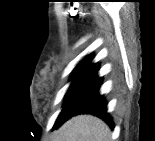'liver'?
Listing matches in <instances>:
<instances>
[{
  "label": "liver",
  "mask_w": 155,
  "mask_h": 141,
  "mask_svg": "<svg viewBox=\"0 0 155 141\" xmlns=\"http://www.w3.org/2000/svg\"><path fill=\"white\" fill-rule=\"evenodd\" d=\"M54 141H110L111 131L101 119L78 115L63 124Z\"/></svg>",
  "instance_id": "obj_1"
}]
</instances>
